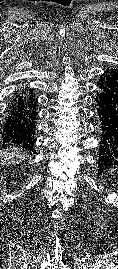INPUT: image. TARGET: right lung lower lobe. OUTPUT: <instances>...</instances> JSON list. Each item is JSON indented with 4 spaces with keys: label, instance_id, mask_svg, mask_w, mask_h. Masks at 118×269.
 Listing matches in <instances>:
<instances>
[{
    "label": "right lung lower lobe",
    "instance_id": "1",
    "mask_svg": "<svg viewBox=\"0 0 118 269\" xmlns=\"http://www.w3.org/2000/svg\"><path fill=\"white\" fill-rule=\"evenodd\" d=\"M37 101L33 93L22 92L13 99L3 123V141L33 150Z\"/></svg>",
    "mask_w": 118,
    "mask_h": 269
}]
</instances>
